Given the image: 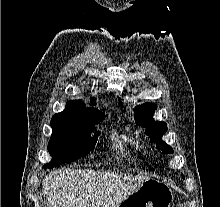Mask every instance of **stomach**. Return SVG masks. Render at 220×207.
<instances>
[{"label":"stomach","instance_id":"0dacf381","mask_svg":"<svg viewBox=\"0 0 220 207\" xmlns=\"http://www.w3.org/2000/svg\"><path fill=\"white\" fill-rule=\"evenodd\" d=\"M173 198V192L167 184L157 179L146 178L140 187L117 207H170Z\"/></svg>","mask_w":220,"mask_h":207}]
</instances>
